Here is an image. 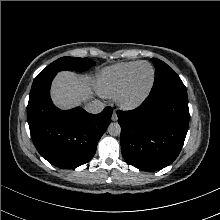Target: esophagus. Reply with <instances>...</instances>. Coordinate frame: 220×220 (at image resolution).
<instances>
[{"label":"esophagus","mask_w":220,"mask_h":220,"mask_svg":"<svg viewBox=\"0 0 220 220\" xmlns=\"http://www.w3.org/2000/svg\"><path fill=\"white\" fill-rule=\"evenodd\" d=\"M111 119H112V121H117L118 120V117H117V114H116L115 111L113 112Z\"/></svg>","instance_id":"esophagus-1"}]
</instances>
